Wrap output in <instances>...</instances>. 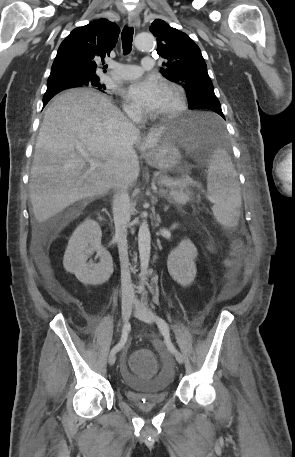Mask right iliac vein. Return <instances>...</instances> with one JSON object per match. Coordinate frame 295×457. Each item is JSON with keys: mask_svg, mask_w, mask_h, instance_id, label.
I'll use <instances>...</instances> for the list:
<instances>
[{"mask_svg": "<svg viewBox=\"0 0 295 457\" xmlns=\"http://www.w3.org/2000/svg\"><path fill=\"white\" fill-rule=\"evenodd\" d=\"M132 309V302L130 300L125 301L122 304V321L126 324ZM116 361V352H111L108 357L109 365H113Z\"/></svg>", "mask_w": 295, "mask_h": 457, "instance_id": "right-iliac-vein-1", "label": "right iliac vein"}]
</instances>
